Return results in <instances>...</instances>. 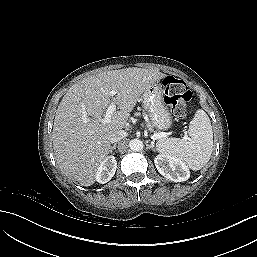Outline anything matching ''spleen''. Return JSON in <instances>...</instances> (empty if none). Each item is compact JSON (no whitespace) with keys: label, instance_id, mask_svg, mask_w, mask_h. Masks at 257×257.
Listing matches in <instances>:
<instances>
[{"label":"spleen","instance_id":"obj_1","mask_svg":"<svg viewBox=\"0 0 257 257\" xmlns=\"http://www.w3.org/2000/svg\"><path fill=\"white\" fill-rule=\"evenodd\" d=\"M190 139L163 138L156 144L161 155L179 159L197 171L210 160L213 150V131L208 115L201 109L195 112L188 128Z\"/></svg>","mask_w":257,"mask_h":257}]
</instances>
